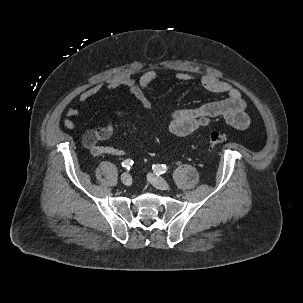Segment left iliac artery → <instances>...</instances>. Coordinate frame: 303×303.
<instances>
[{"instance_id": "left-iliac-artery-1", "label": "left iliac artery", "mask_w": 303, "mask_h": 303, "mask_svg": "<svg viewBox=\"0 0 303 303\" xmlns=\"http://www.w3.org/2000/svg\"><path fill=\"white\" fill-rule=\"evenodd\" d=\"M152 169L156 175H160L165 173L168 170V167L166 165L155 164L152 166Z\"/></svg>"}]
</instances>
